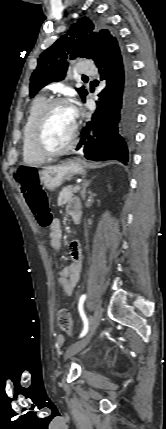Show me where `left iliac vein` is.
<instances>
[{
	"label": "left iliac vein",
	"mask_w": 166,
	"mask_h": 429,
	"mask_svg": "<svg viewBox=\"0 0 166 429\" xmlns=\"http://www.w3.org/2000/svg\"><path fill=\"white\" fill-rule=\"evenodd\" d=\"M102 317V307L101 304H97L95 307L94 315L90 320V327H89V333L88 335L83 338L82 340L72 344L66 351V358L71 357L72 355L76 354L80 350H82L90 341L91 337L95 333L100 320Z\"/></svg>",
	"instance_id": "1"
}]
</instances>
